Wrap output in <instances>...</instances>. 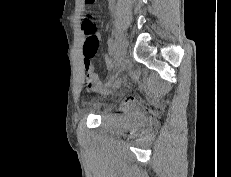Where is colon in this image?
Returning a JSON list of instances; mask_svg holds the SVG:
<instances>
[{"instance_id": "obj_1", "label": "colon", "mask_w": 231, "mask_h": 177, "mask_svg": "<svg viewBox=\"0 0 231 177\" xmlns=\"http://www.w3.org/2000/svg\"><path fill=\"white\" fill-rule=\"evenodd\" d=\"M86 4H93L95 0H84ZM82 28L84 33L86 34V40L83 48L84 56L87 59H92V57L96 54L99 40L96 35L95 26L92 22L86 20L82 24Z\"/></svg>"}]
</instances>
